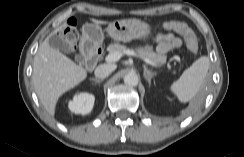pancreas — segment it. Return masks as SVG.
Listing matches in <instances>:
<instances>
[{
	"label": "pancreas",
	"mask_w": 244,
	"mask_h": 157,
	"mask_svg": "<svg viewBox=\"0 0 244 157\" xmlns=\"http://www.w3.org/2000/svg\"><path fill=\"white\" fill-rule=\"evenodd\" d=\"M107 50L110 54L118 52V53H121L123 56L125 54V51L130 50V49L127 48L125 45H121L119 43H114V44H110L108 46ZM136 51L139 55L149 58L151 61H153L157 65H161L166 62V58H167L166 55L156 53L150 48H138Z\"/></svg>",
	"instance_id": "pancreas-1"
}]
</instances>
